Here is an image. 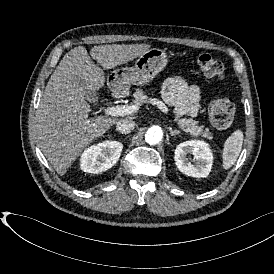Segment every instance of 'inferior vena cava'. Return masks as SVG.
Masks as SVG:
<instances>
[{
  "label": "inferior vena cava",
  "instance_id": "obj_1",
  "mask_svg": "<svg viewBox=\"0 0 274 274\" xmlns=\"http://www.w3.org/2000/svg\"><path fill=\"white\" fill-rule=\"evenodd\" d=\"M135 128V122L132 120H119L116 123V130L121 134H128Z\"/></svg>",
  "mask_w": 274,
  "mask_h": 274
}]
</instances>
